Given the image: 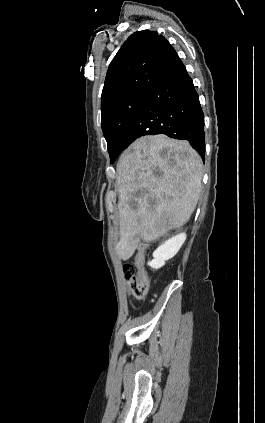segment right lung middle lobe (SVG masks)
<instances>
[{"mask_svg":"<svg viewBox=\"0 0 265 423\" xmlns=\"http://www.w3.org/2000/svg\"><path fill=\"white\" fill-rule=\"evenodd\" d=\"M149 92L150 90L132 92L101 111V126L107 141L111 163L120 154L118 140L123 129L142 105Z\"/></svg>","mask_w":265,"mask_h":423,"instance_id":"1","label":"right lung middle lobe"}]
</instances>
